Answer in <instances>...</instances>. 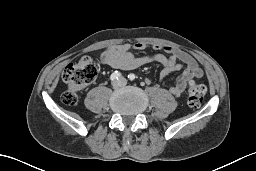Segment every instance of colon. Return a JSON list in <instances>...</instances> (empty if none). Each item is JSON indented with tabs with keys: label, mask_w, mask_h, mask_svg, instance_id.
<instances>
[{
	"label": "colon",
	"mask_w": 256,
	"mask_h": 171,
	"mask_svg": "<svg viewBox=\"0 0 256 171\" xmlns=\"http://www.w3.org/2000/svg\"><path fill=\"white\" fill-rule=\"evenodd\" d=\"M96 75L97 67L89 57H82L76 62L68 64L62 73V79L66 84V90L61 96L62 102L69 106L77 104L80 92L94 81ZM206 92L205 84L189 81L188 105L191 108H199Z\"/></svg>",
	"instance_id": "1"
}]
</instances>
